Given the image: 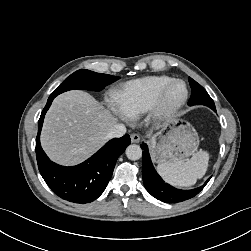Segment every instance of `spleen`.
Here are the masks:
<instances>
[{"instance_id": "obj_1", "label": "spleen", "mask_w": 251, "mask_h": 251, "mask_svg": "<svg viewBox=\"0 0 251 251\" xmlns=\"http://www.w3.org/2000/svg\"><path fill=\"white\" fill-rule=\"evenodd\" d=\"M209 154L199 151L188 161L159 163L158 173L171 185L187 187L194 185L201 179L208 168Z\"/></svg>"}]
</instances>
